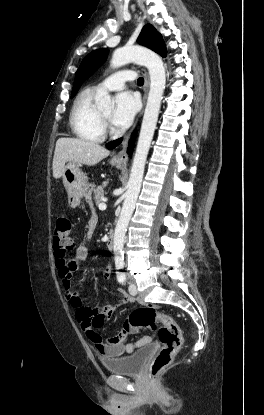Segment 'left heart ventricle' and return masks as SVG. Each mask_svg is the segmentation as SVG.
<instances>
[{
	"label": "left heart ventricle",
	"instance_id": "obj_1",
	"mask_svg": "<svg viewBox=\"0 0 264 415\" xmlns=\"http://www.w3.org/2000/svg\"><path fill=\"white\" fill-rule=\"evenodd\" d=\"M101 113L108 119V120H110L111 119V117H112V110H104V111H101Z\"/></svg>",
	"mask_w": 264,
	"mask_h": 415
}]
</instances>
